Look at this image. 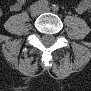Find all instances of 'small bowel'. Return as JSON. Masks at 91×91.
Here are the masks:
<instances>
[{
    "mask_svg": "<svg viewBox=\"0 0 91 91\" xmlns=\"http://www.w3.org/2000/svg\"><path fill=\"white\" fill-rule=\"evenodd\" d=\"M23 5L22 1H17L14 4L11 5L10 10L11 11H18ZM91 7V2L89 0H83L77 5V12L83 13L89 10Z\"/></svg>",
    "mask_w": 91,
    "mask_h": 91,
    "instance_id": "small-bowel-1",
    "label": "small bowel"
}]
</instances>
